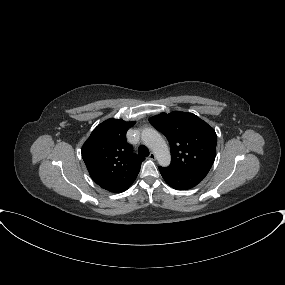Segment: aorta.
Masks as SVG:
<instances>
[{
	"mask_svg": "<svg viewBox=\"0 0 285 285\" xmlns=\"http://www.w3.org/2000/svg\"><path fill=\"white\" fill-rule=\"evenodd\" d=\"M141 140L148 148L153 151L158 163L161 166H169L171 161L169 148L158 131L153 128L144 129L141 134Z\"/></svg>",
	"mask_w": 285,
	"mask_h": 285,
	"instance_id": "1",
	"label": "aorta"
}]
</instances>
